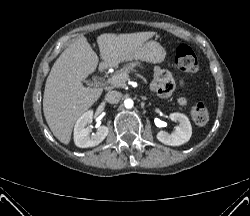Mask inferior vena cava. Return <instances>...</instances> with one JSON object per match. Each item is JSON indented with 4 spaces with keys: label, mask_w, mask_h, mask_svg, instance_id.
Instances as JSON below:
<instances>
[{
    "label": "inferior vena cava",
    "mask_w": 250,
    "mask_h": 216,
    "mask_svg": "<svg viewBox=\"0 0 250 216\" xmlns=\"http://www.w3.org/2000/svg\"><path fill=\"white\" fill-rule=\"evenodd\" d=\"M121 97H122V93L121 92L113 90V91H109L105 95V100L108 103L115 104V103H118L120 101Z\"/></svg>",
    "instance_id": "1"
}]
</instances>
